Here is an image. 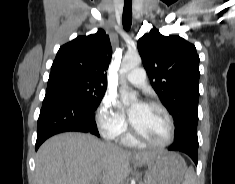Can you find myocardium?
<instances>
[{"label": "myocardium", "instance_id": "1", "mask_svg": "<svg viewBox=\"0 0 235 184\" xmlns=\"http://www.w3.org/2000/svg\"><path fill=\"white\" fill-rule=\"evenodd\" d=\"M144 105L150 106V107H158L165 113V115L167 116L168 121H169V135H168V138L162 143H155V142L143 137L142 135H140L137 132V130L134 128L132 123H131V126H130L131 136L133 137V139L135 141L140 142V143L145 144V145H148V146L153 147V148L165 149V148L169 147L174 141L175 132H176L175 120H174V117H173L172 113L170 112V110L164 104H162L161 102H158V101H149V102H146Z\"/></svg>", "mask_w": 235, "mask_h": 184}]
</instances>
